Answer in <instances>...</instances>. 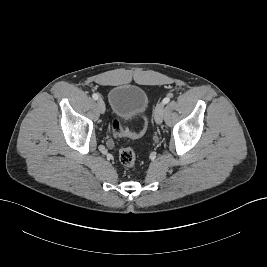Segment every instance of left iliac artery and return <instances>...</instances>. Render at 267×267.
I'll return each instance as SVG.
<instances>
[{
	"mask_svg": "<svg viewBox=\"0 0 267 267\" xmlns=\"http://www.w3.org/2000/svg\"><path fill=\"white\" fill-rule=\"evenodd\" d=\"M169 101H170V98L166 97V98L163 99L162 103L163 104H167Z\"/></svg>",
	"mask_w": 267,
	"mask_h": 267,
	"instance_id": "left-iliac-artery-1",
	"label": "left iliac artery"
}]
</instances>
